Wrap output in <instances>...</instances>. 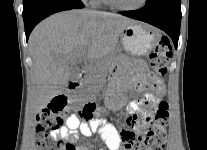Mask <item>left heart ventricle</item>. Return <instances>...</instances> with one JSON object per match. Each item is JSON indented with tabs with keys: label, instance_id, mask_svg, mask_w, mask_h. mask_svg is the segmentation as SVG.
I'll return each mask as SVG.
<instances>
[{
	"label": "left heart ventricle",
	"instance_id": "1",
	"mask_svg": "<svg viewBox=\"0 0 207 150\" xmlns=\"http://www.w3.org/2000/svg\"><path fill=\"white\" fill-rule=\"evenodd\" d=\"M116 1L124 7H134L139 5L142 0H116Z\"/></svg>",
	"mask_w": 207,
	"mask_h": 150
}]
</instances>
